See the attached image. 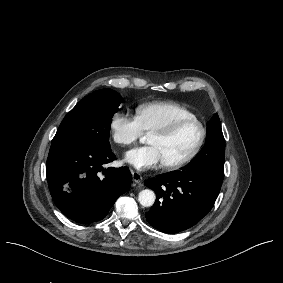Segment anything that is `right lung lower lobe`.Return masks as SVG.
Returning a JSON list of instances; mask_svg holds the SVG:
<instances>
[{"label":"right lung lower lobe","instance_id":"right-lung-lower-lobe-1","mask_svg":"<svg viewBox=\"0 0 283 283\" xmlns=\"http://www.w3.org/2000/svg\"><path fill=\"white\" fill-rule=\"evenodd\" d=\"M115 159L111 149L94 145L50 147L46 163L48 186L65 216L78 223H91L108 214L132 181L127 167H103Z\"/></svg>","mask_w":283,"mask_h":283}]
</instances>
